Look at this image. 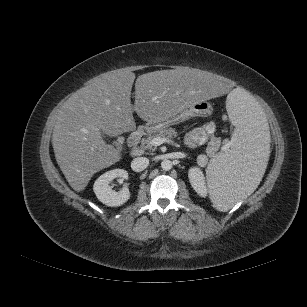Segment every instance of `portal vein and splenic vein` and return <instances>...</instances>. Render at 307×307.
<instances>
[{
	"instance_id": "portal-vein-and-splenic-vein-1",
	"label": "portal vein and splenic vein",
	"mask_w": 307,
	"mask_h": 307,
	"mask_svg": "<svg viewBox=\"0 0 307 307\" xmlns=\"http://www.w3.org/2000/svg\"><path fill=\"white\" fill-rule=\"evenodd\" d=\"M163 143H172V141L168 138H165V137H155L151 141V144L154 145V146H159Z\"/></svg>"
}]
</instances>
